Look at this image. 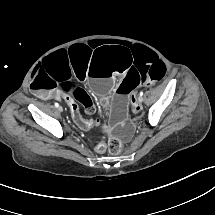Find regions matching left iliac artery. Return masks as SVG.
<instances>
[{"mask_svg": "<svg viewBox=\"0 0 215 215\" xmlns=\"http://www.w3.org/2000/svg\"><path fill=\"white\" fill-rule=\"evenodd\" d=\"M140 97H143V92H140ZM143 100V99H142Z\"/></svg>", "mask_w": 215, "mask_h": 215, "instance_id": "left-iliac-artery-1", "label": "left iliac artery"}]
</instances>
